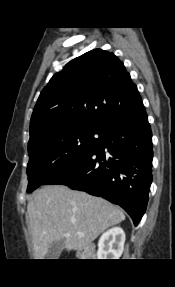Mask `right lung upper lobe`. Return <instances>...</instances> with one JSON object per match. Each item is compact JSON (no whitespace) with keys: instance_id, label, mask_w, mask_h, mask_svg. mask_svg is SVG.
<instances>
[{"instance_id":"cb5924a9","label":"right lung upper lobe","mask_w":175,"mask_h":287,"mask_svg":"<svg viewBox=\"0 0 175 287\" xmlns=\"http://www.w3.org/2000/svg\"><path fill=\"white\" fill-rule=\"evenodd\" d=\"M142 103L123 63L102 49L66 64L42 90L30 122V140L53 136L81 125H100Z\"/></svg>"}]
</instances>
